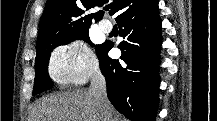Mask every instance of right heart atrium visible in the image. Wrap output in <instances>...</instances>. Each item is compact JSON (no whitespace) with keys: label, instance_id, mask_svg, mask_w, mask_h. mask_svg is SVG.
<instances>
[{"label":"right heart atrium","instance_id":"d8ad5b80","mask_svg":"<svg viewBox=\"0 0 217 121\" xmlns=\"http://www.w3.org/2000/svg\"><path fill=\"white\" fill-rule=\"evenodd\" d=\"M99 71L96 55L78 41L58 47L49 60L48 72L57 84H82Z\"/></svg>","mask_w":217,"mask_h":121}]
</instances>
